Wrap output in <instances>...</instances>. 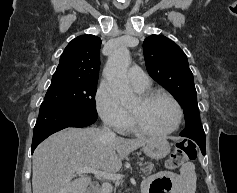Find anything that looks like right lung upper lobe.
<instances>
[{"mask_svg": "<svg viewBox=\"0 0 237 193\" xmlns=\"http://www.w3.org/2000/svg\"><path fill=\"white\" fill-rule=\"evenodd\" d=\"M101 39L94 35H81L73 39L60 57L54 77L97 81L100 66Z\"/></svg>", "mask_w": 237, "mask_h": 193, "instance_id": "right-lung-upper-lobe-1", "label": "right lung upper lobe"}]
</instances>
